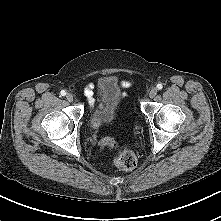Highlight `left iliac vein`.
I'll use <instances>...</instances> for the list:
<instances>
[{"label":"left iliac vein","mask_w":221,"mask_h":221,"mask_svg":"<svg viewBox=\"0 0 221 221\" xmlns=\"http://www.w3.org/2000/svg\"><path fill=\"white\" fill-rule=\"evenodd\" d=\"M157 94V89L155 87L151 88L148 95L150 98H154Z\"/></svg>","instance_id":"1"}]
</instances>
